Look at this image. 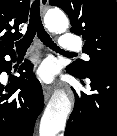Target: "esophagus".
<instances>
[{"mask_svg": "<svg viewBox=\"0 0 117 136\" xmlns=\"http://www.w3.org/2000/svg\"><path fill=\"white\" fill-rule=\"evenodd\" d=\"M41 3V8L42 10H44L48 4V0H40ZM43 95H44V99L45 101H47L52 93V89L50 86L47 85H43Z\"/></svg>", "mask_w": 117, "mask_h": 136, "instance_id": "1", "label": "esophagus"}]
</instances>
